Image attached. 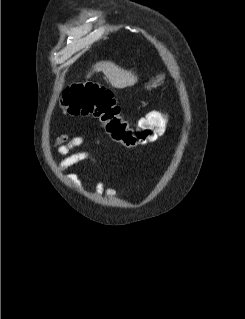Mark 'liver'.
Listing matches in <instances>:
<instances>
[{"mask_svg":"<svg viewBox=\"0 0 245 319\" xmlns=\"http://www.w3.org/2000/svg\"><path fill=\"white\" fill-rule=\"evenodd\" d=\"M102 71L110 84L118 89L134 85L138 79L132 71H127L111 61H100L93 65L92 72L87 75L90 78L92 73Z\"/></svg>","mask_w":245,"mask_h":319,"instance_id":"obj_1","label":"liver"}]
</instances>
